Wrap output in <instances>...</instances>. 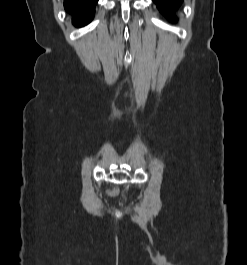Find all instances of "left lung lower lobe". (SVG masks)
Segmentation results:
<instances>
[{
    "label": "left lung lower lobe",
    "instance_id": "0a47b994",
    "mask_svg": "<svg viewBox=\"0 0 247 265\" xmlns=\"http://www.w3.org/2000/svg\"><path fill=\"white\" fill-rule=\"evenodd\" d=\"M160 12L170 20L177 21L174 12L180 7L183 0H153Z\"/></svg>",
    "mask_w": 247,
    "mask_h": 265
}]
</instances>
